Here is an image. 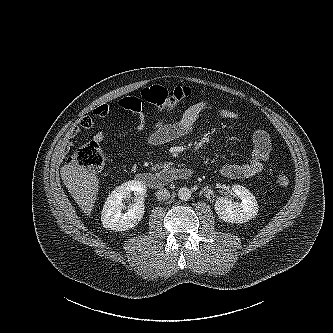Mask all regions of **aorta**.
<instances>
[{"label": "aorta", "mask_w": 333, "mask_h": 333, "mask_svg": "<svg viewBox=\"0 0 333 333\" xmlns=\"http://www.w3.org/2000/svg\"><path fill=\"white\" fill-rule=\"evenodd\" d=\"M178 197L183 201H187L191 198V190L186 187H182L178 190Z\"/></svg>", "instance_id": "aorta-1"}]
</instances>
